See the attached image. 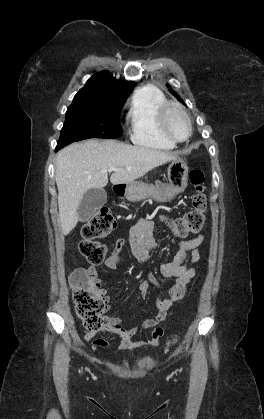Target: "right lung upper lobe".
<instances>
[{
  "mask_svg": "<svg viewBox=\"0 0 264 419\" xmlns=\"http://www.w3.org/2000/svg\"><path fill=\"white\" fill-rule=\"evenodd\" d=\"M134 82L115 80L108 71L92 76L80 91L127 97L132 92Z\"/></svg>",
  "mask_w": 264,
  "mask_h": 419,
  "instance_id": "right-lung-upper-lobe-1",
  "label": "right lung upper lobe"
}]
</instances>
